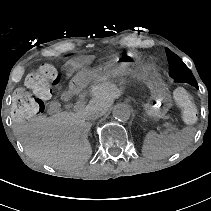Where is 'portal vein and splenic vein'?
<instances>
[{
  "mask_svg": "<svg viewBox=\"0 0 211 211\" xmlns=\"http://www.w3.org/2000/svg\"><path fill=\"white\" fill-rule=\"evenodd\" d=\"M166 127H170V123H168V122H166L165 124H164Z\"/></svg>",
  "mask_w": 211,
  "mask_h": 211,
  "instance_id": "portal-vein-and-splenic-vein-1",
  "label": "portal vein and splenic vein"
}]
</instances>
